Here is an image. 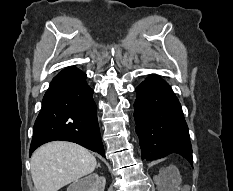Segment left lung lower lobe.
Here are the masks:
<instances>
[{
	"label": "left lung lower lobe",
	"instance_id": "1",
	"mask_svg": "<svg viewBox=\"0 0 233 191\" xmlns=\"http://www.w3.org/2000/svg\"><path fill=\"white\" fill-rule=\"evenodd\" d=\"M136 92L134 118L141 158L150 161L177 154L192 164L188 127L170 86L152 75L136 88Z\"/></svg>",
	"mask_w": 233,
	"mask_h": 191
}]
</instances>
